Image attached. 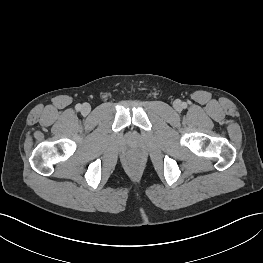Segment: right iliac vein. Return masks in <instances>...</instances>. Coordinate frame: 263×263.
<instances>
[{
    "instance_id": "63e3f726",
    "label": "right iliac vein",
    "mask_w": 263,
    "mask_h": 263,
    "mask_svg": "<svg viewBox=\"0 0 263 263\" xmlns=\"http://www.w3.org/2000/svg\"><path fill=\"white\" fill-rule=\"evenodd\" d=\"M91 111V106L88 104V103H84L82 106H81V113L83 115H88Z\"/></svg>"
}]
</instances>
